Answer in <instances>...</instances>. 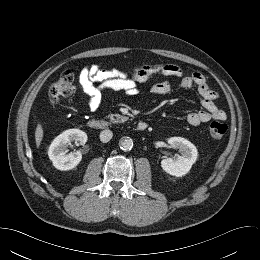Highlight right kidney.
<instances>
[{"label": "right kidney", "instance_id": "ca27d5eb", "mask_svg": "<svg viewBox=\"0 0 260 260\" xmlns=\"http://www.w3.org/2000/svg\"><path fill=\"white\" fill-rule=\"evenodd\" d=\"M85 144L87 134L79 129H68L58 135L48 149V156L53 166L61 171L75 168L82 160L80 151L67 153V145L71 142Z\"/></svg>", "mask_w": 260, "mask_h": 260}]
</instances>
